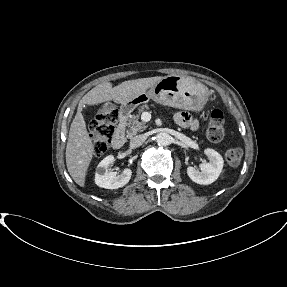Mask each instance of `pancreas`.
<instances>
[{
	"label": "pancreas",
	"instance_id": "1",
	"mask_svg": "<svg viewBox=\"0 0 287 287\" xmlns=\"http://www.w3.org/2000/svg\"><path fill=\"white\" fill-rule=\"evenodd\" d=\"M146 109H148L147 105L141 106L139 109V114L132 115L128 119L126 123V125L129 127V129L127 130V137L131 138L138 132H142L147 128V125H145L144 122L139 121L140 114H142Z\"/></svg>",
	"mask_w": 287,
	"mask_h": 287
}]
</instances>
